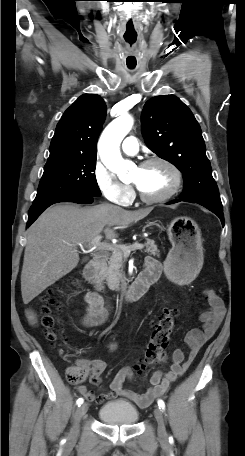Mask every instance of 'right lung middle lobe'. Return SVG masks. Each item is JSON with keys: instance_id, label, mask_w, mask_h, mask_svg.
Masks as SVG:
<instances>
[{"instance_id": "dd1d6c3e", "label": "right lung middle lobe", "mask_w": 245, "mask_h": 456, "mask_svg": "<svg viewBox=\"0 0 245 456\" xmlns=\"http://www.w3.org/2000/svg\"><path fill=\"white\" fill-rule=\"evenodd\" d=\"M95 168L96 156L46 163L33 205L68 196H100Z\"/></svg>"}]
</instances>
